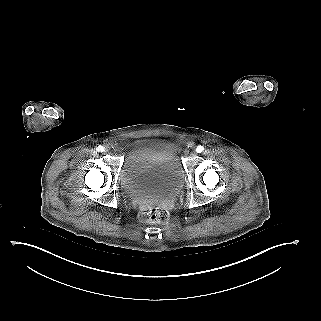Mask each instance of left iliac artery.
Wrapping results in <instances>:
<instances>
[{
    "label": "left iliac artery",
    "instance_id": "left-iliac-artery-1",
    "mask_svg": "<svg viewBox=\"0 0 321 321\" xmlns=\"http://www.w3.org/2000/svg\"><path fill=\"white\" fill-rule=\"evenodd\" d=\"M203 150H204V147L201 146V145L198 146L197 149H196V151H197L198 153H201Z\"/></svg>",
    "mask_w": 321,
    "mask_h": 321
}]
</instances>
